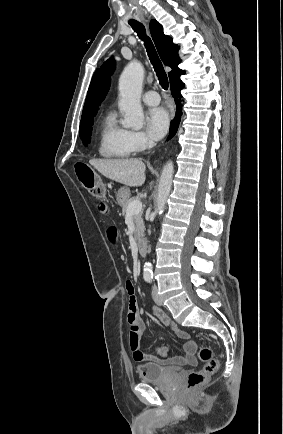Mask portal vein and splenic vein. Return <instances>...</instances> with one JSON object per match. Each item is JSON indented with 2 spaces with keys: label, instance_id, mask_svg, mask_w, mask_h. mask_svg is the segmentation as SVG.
<instances>
[{
  "label": "portal vein and splenic vein",
  "instance_id": "18ae733b",
  "mask_svg": "<svg viewBox=\"0 0 283 434\" xmlns=\"http://www.w3.org/2000/svg\"><path fill=\"white\" fill-rule=\"evenodd\" d=\"M142 211V203L137 200V201H133L128 205V213H139Z\"/></svg>",
  "mask_w": 283,
  "mask_h": 434
}]
</instances>
